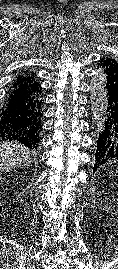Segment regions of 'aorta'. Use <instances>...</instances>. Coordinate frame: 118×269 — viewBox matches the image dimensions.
<instances>
[{"label": "aorta", "mask_w": 118, "mask_h": 269, "mask_svg": "<svg viewBox=\"0 0 118 269\" xmlns=\"http://www.w3.org/2000/svg\"><path fill=\"white\" fill-rule=\"evenodd\" d=\"M106 76L98 69L90 81V103L95 123L101 125L105 115Z\"/></svg>", "instance_id": "aorta-1"}]
</instances>
